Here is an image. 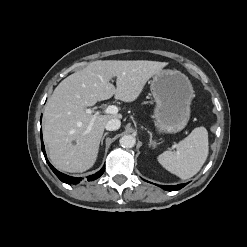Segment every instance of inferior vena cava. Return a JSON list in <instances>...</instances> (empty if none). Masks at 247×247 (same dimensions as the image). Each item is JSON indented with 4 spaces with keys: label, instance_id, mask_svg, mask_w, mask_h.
<instances>
[{
    "label": "inferior vena cava",
    "instance_id": "inferior-vena-cava-1",
    "mask_svg": "<svg viewBox=\"0 0 247 247\" xmlns=\"http://www.w3.org/2000/svg\"><path fill=\"white\" fill-rule=\"evenodd\" d=\"M121 126V122L119 119H116V118H113V119H110L106 125H105V128L106 130L108 131H114V130H118Z\"/></svg>",
    "mask_w": 247,
    "mask_h": 247
}]
</instances>
